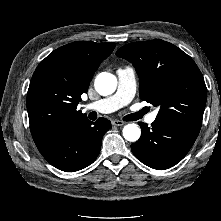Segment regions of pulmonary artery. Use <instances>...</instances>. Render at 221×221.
Wrapping results in <instances>:
<instances>
[{"instance_id":"pulmonary-artery-1","label":"pulmonary artery","mask_w":221,"mask_h":221,"mask_svg":"<svg viewBox=\"0 0 221 221\" xmlns=\"http://www.w3.org/2000/svg\"><path fill=\"white\" fill-rule=\"evenodd\" d=\"M118 88L114 95L98 101L88 103L85 110L96 111L98 113H112L127 105L134 97L136 91V79L134 69L125 67L117 70ZM157 116V111H153L146 117V122L152 124Z\"/></svg>"}]
</instances>
